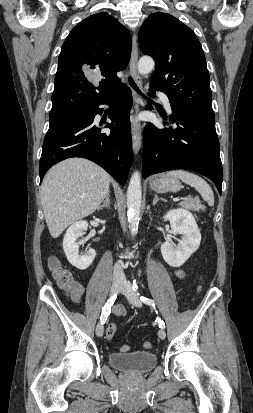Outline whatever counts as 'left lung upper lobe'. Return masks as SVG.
<instances>
[{
  "label": "left lung upper lobe",
  "instance_id": "obj_1",
  "mask_svg": "<svg viewBox=\"0 0 253 413\" xmlns=\"http://www.w3.org/2000/svg\"><path fill=\"white\" fill-rule=\"evenodd\" d=\"M139 46L155 60L151 84L168 96L173 113L215 121L205 56L189 27L172 15L153 13L139 30Z\"/></svg>",
  "mask_w": 253,
  "mask_h": 413
}]
</instances>
